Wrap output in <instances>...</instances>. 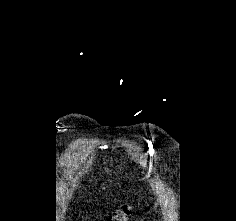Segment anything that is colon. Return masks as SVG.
Masks as SVG:
<instances>
[{
    "mask_svg": "<svg viewBox=\"0 0 236 221\" xmlns=\"http://www.w3.org/2000/svg\"><path fill=\"white\" fill-rule=\"evenodd\" d=\"M132 216V209L130 206L125 205L110 215L106 221H130Z\"/></svg>",
    "mask_w": 236,
    "mask_h": 221,
    "instance_id": "1",
    "label": "colon"
}]
</instances>
